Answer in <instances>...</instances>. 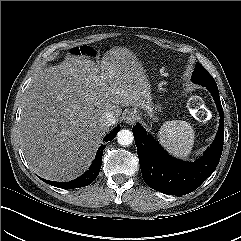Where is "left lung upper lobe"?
Here are the masks:
<instances>
[{
	"mask_svg": "<svg viewBox=\"0 0 241 241\" xmlns=\"http://www.w3.org/2000/svg\"><path fill=\"white\" fill-rule=\"evenodd\" d=\"M191 80L194 83H197L202 86H211V87L217 86L213 77L208 73V71L200 63L196 64L195 71L193 72Z\"/></svg>",
	"mask_w": 241,
	"mask_h": 241,
	"instance_id": "left-lung-upper-lobe-1",
	"label": "left lung upper lobe"
}]
</instances>
